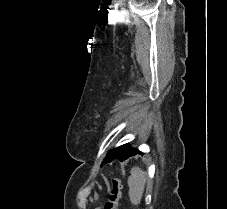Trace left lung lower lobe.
Here are the masks:
<instances>
[{"label":"left lung lower lobe","mask_w":227,"mask_h":209,"mask_svg":"<svg viewBox=\"0 0 227 209\" xmlns=\"http://www.w3.org/2000/svg\"><path fill=\"white\" fill-rule=\"evenodd\" d=\"M137 153H141L140 151H138L137 149L135 148H131L121 159L120 161H123L129 157H131L132 155L134 154H137Z\"/></svg>","instance_id":"left-lung-lower-lobe-1"}]
</instances>
